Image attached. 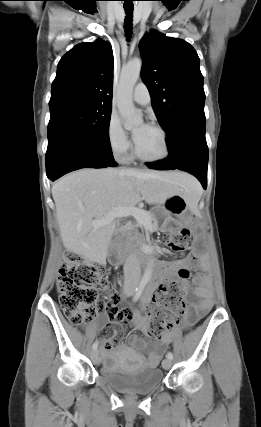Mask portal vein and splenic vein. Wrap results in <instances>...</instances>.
Instances as JSON below:
<instances>
[{
    "label": "portal vein and splenic vein",
    "mask_w": 261,
    "mask_h": 427,
    "mask_svg": "<svg viewBox=\"0 0 261 427\" xmlns=\"http://www.w3.org/2000/svg\"><path fill=\"white\" fill-rule=\"evenodd\" d=\"M134 217L139 223L146 224L149 222L148 213L145 210L136 207H116L106 217L100 220H93L92 226L100 227L110 223L115 218Z\"/></svg>",
    "instance_id": "1"
}]
</instances>
